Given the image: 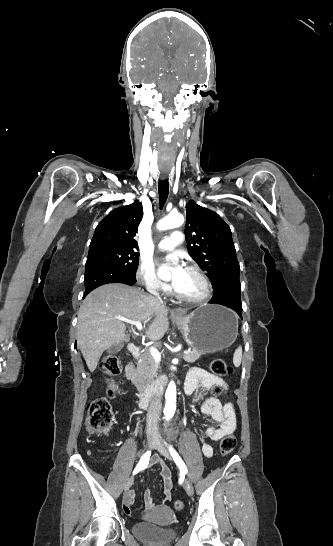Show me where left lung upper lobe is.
I'll list each match as a JSON object with an SVG mask.
<instances>
[{
  "mask_svg": "<svg viewBox=\"0 0 333 546\" xmlns=\"http://www.w3.org/2000/svg\"><path fill=\"white\" fill-rule=\"evenodd\" d=\"M186 215L189 255L207 273L214 290L223 282L239 279L240 266L230 227L216 212L194 201L186 204Z\"/></svg>",
  "mask_w": 333,
  "mask_h": 546,
  "instance_id": "left-lung-upper-lobe-1",
  "label": "left lung upper lobe"
}]
</instances>
